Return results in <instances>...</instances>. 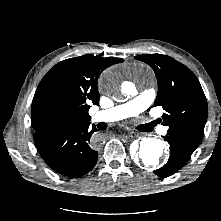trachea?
Listing matches in <instances>:
<instances>
[{"label": "trachea", "instance_id": "3493384b", "mask_svg": "<svg viewBox=\"0 0 221 221\" xmlns=\"http://www.w3.org/2000/svg\"><path fill=\"white\" fill-rule=\"evenodd\" d=\"M142 127L144 128V131H147V132L151 131V128H149V126L142 125Z\"/></svg>", "mask_w": 221, "mask_h": 221}]
</instances>
